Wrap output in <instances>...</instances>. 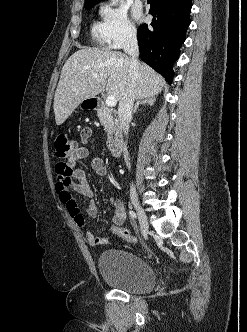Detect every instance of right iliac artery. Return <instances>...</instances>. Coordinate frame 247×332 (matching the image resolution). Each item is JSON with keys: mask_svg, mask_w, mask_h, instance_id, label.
Returning a JSON list of instances; mask_svg holds the SVG:
<instances>
[{"mask_svg": "<svg viewBox=\"0 0 247 332\" xmlns=\"http://www.w3.org/2000/svg\"><path fill=\"white\" fill-rule=\"evenodd\" d=\"M129 215L133 218V219H136L137 216H136V213L134 211H129Z\"/></svg>", "mask_w": 247, "mask_h": 332, "instance_id": "obj_1", "label": "right iliac artery"}]
</instances>
